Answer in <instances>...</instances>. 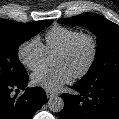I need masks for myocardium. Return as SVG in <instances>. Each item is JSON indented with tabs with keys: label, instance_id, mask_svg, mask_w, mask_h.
<instances>
[{
	"label": "myocardium",
	"instance_id": "1",
	"mask_svg": "<svg viewBox=\"0 0 119 119\" xmlns=\"http://www.w3.org/2000/svg\"><path fill=\"white\" fill-rule=\"evenodd\" d=\"M87 41L90 45V56L85 66L74 75V78L80 79L88 74L93 67L97 54H98V43L96 38L91 34L81 33L76 36L64 49H62L58 55L69 56L76 50L77 46L82 42Z\"/></svg>",
	"mask_w": 119,
	"mask_h": 119
}]
</instances>
